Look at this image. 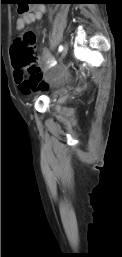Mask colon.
Listing matches in <instances>:
<instances>
[{
	"label": "colon",
	"mask_w": 122,
	"mask_h": 257,
	"mask_svg": "<svg viewBox=\"0 0 122 257\" xmlns=\"http://www.w3.org/2000/svg\"><path fill=\"white\" fill-rule=\"evenodd\" d=\"M19 13L27 12L30 5H17ZM11 60L17 70H26L27 74L35 79L39 76L40 67L36 53V37L33 32L27 31L17 38L11 47Z\"/></svg>",
	"instance_id": "1"
}]
</instances>
